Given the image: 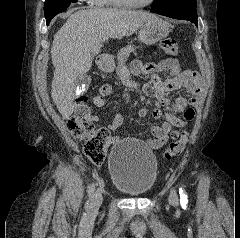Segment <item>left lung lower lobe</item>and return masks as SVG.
Returning a JSON list of instances; mask_svg holds the SVG:
<instances>
[{
	"label": "left lung lower lobe",
	"mask_w": 240,
	"mask_h": 238,
	"mask_svg": "<svg viewBox=\"0 0 240 238\" xmlns=\"http://www.w3.org/2000/svg\"><path fill=\"white\" fill-rule=\"evenodd\" d=\"M151 11L174 19L188 20L193 22L196 26L198 25L197 11L196 8L193 7L169 6L159 9H151Z\"/></svg>",
	"instance_id": "obj_1"
}]
</instances>
